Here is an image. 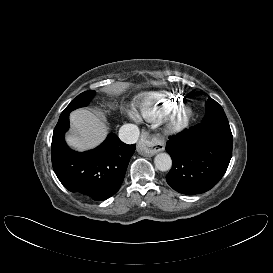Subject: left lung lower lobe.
I'll use <instances>...</instances> for the list:
<instances>
[{"label": "left lung lower lobe", "instance_id": "obj_1", "mask_svg": "<svg viewBox=\"0 0 273 273\" xmlns=\"http://www.w3.org/2000/svg\"><path fill=\"white\" fill-rule=\"evenodd\" d=\"M169 139L166 151L173 166L166 181L177 192H206L226 172L233 143L227 117L204 118L200 124Z\"/></svg>", "mask_w": 273, "mask_h": 273}]
</instances>
